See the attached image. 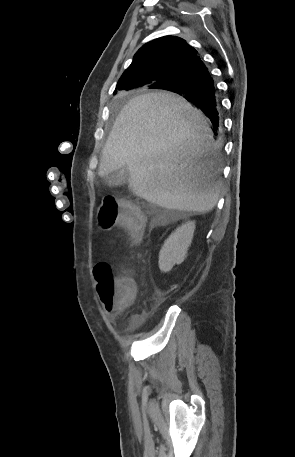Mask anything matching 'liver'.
<instances>
[{"mask_svg":"<svg viewBox=\"0 0 295 457\" xmlns=\"http://www.w3.org/2000/svg\"><path fill=\"white\" fill-rule=\"evenodd\" d=\"M211 138L204 114L184 98L142 94L117 116L98 175L127 167L129 187L140 198L169 210L206 213L217 204L221 186V159Z\"/></svg>","mask_w":295,"mask_h":457,"instance_id":"obj_1","label":"liver"}]
</instances>
